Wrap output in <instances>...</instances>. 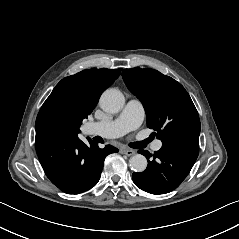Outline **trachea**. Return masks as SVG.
<instances>
[{
  "instance_id": "trachea-1",
  "label": "trachea",
  "mask_w": 239,
  "mask_h": 239,
  "mask_svg": "<svg viewBox=\"0 0 239 239\" xmlns=\"http://www.w3.org/2000/svg\"><path fill=\"white\" fill-rule=\"evenodd\" d=\"M147 143L144 142H136V143H132L131 147L132 148H138V147H145Z\"/></svg>"
}]
</instances>
